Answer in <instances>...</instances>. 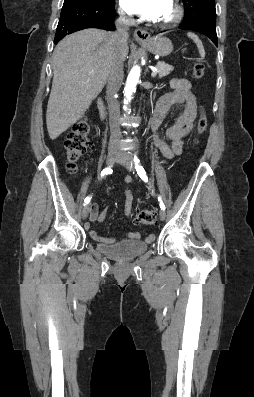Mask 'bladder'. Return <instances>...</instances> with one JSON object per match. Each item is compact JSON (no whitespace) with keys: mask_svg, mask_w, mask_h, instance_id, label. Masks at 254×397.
Listing matches in <instances>:
<instances>
[{"mask_svg":"<svg viewBox=\"0 0 254 397\" xmlns=\"http://www.w3.org/2000/svg\"><path fill=\"white\" fill-rule=\"evenodd\" d=\"M96 248L110 258L128 260L146 252L148 245L143 240H127L114 244H97Z\"/></svg>","mask_w":254,"mask_h":397,"instance_id":"31cf9c89","label":"bladder"}]
</instances>
